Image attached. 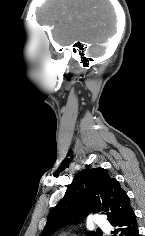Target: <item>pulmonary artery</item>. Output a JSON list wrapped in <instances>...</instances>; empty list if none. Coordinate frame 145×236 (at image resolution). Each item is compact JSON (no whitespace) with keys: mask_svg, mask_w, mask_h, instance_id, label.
I'll return each instance as SVG.
<instances>
[{"mask_svg":"<svg viewBox=\"0 0 145 236\" xmlns=\"http://www.w3.org/2000/svg\"><path fill=\"white\" fill-rule=\"evenodd\" d=\"M92 224L103 228L106 232H109L106 219L101 215H95Z\"/></svg>","mask_w":145,"mask_h":236,"instance_id":"obj_1","label":"pulmonary artery"}]
</instances>
